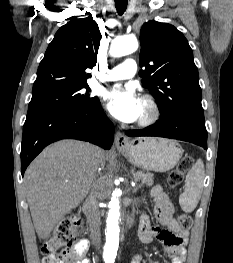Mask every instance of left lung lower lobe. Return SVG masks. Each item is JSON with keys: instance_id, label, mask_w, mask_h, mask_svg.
<instances>
[{"instance_id": "obj_1", "label": "left lung lower lobe", "mask_w": 233, "mask_h": 263, "mask_svg": "<svg viewBox=\"0 0 233 263\" xmlns=\"http://www.w3.org/2000/svg\"><path fill=\"white\" fill-rule=\"evenodd\" d=\"M125 133L130 137L157 136L183 140L207 149V131L203 113H178L160 118L145 129L129 130Z\"/></svg>"}]
</instances>
